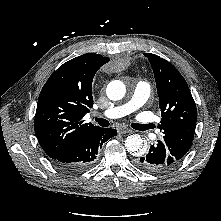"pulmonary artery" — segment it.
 I'll use <instances>...</instances> for the list:
<instances>
[{"mask_svg": "<svg viewBox=\"0 0 221 221\" xmlns=\"http://www.w3.org/2000/svg\"><path fill=\"white\" fill-rule=\"evenodd\" d=\"M150 84L139 81L131 98L124 104L107 109L102 113L104 118L113 119L126 116L142 107L150 96Z\"/></svg>", "mask_w": 221, "mask_h": 221, "instance_id": "1", "label": "pulmonary artery"}]
</instances>
